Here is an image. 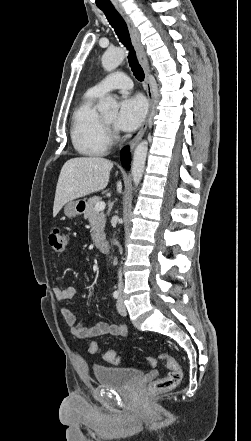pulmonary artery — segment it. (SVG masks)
<instances>
[{
    "label": "pulmonary artery",
    "instance_id": "pulmonary-artery-1",
    "mask_svg": "<svg viewBox=\"0 0 251 441\" xmlns=\"http://www.w3.org/2000/svg\"><path fill=\"white\" fill-rule=\"evenodd\" d=\"M131 88L132 81L130 80V78L122 72H116L102 79L91 89L100 95H104L112 90L118 89L126 91Z\"/></svg>",
    "mask_w": 251,
    "mask_h": 441
}]
</instances>
